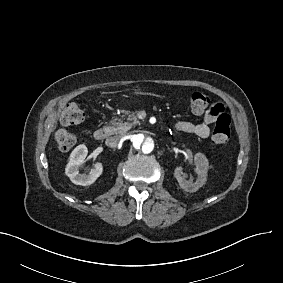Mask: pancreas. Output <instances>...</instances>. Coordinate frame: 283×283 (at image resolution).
Listing matches in <instances>:
<instances>
[{
    "label": "pancreas",
    "instance_id": "pancreas-1",
    "mask_svg": "<svg viewBox=\"0 0 283 283\" xmlns=\"http://www.w3.org/2000/svg\"><path fill=\"white\" fill-rule=\"evenodd\" d=\"M135 124H139L136 114H127L126 121L115 118V122L110 126V131L115 134L125 135L128 130L132 129Z\"/></svg>",
    "mask_w": 283,
    "mask_h": 283
}]
</instances>
